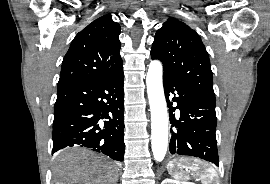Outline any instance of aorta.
I'll return each mask as SVG.
<instances>
[{
    "mask_svg": "<svg viewBox=\"0 0 270 184\" xmlns=\"http://www.w3.org/2000/svg\"><path fill=\"white\" fill-rule=\"evenodd\" d=\"M162 73L161 62L151 61L146 76V86L151 111V148L157 162L164 159L168 146V116Z\"/></svg>",
    "mask_w": 270,
    "mask_h": 184,
    "instance_id": "1",
    "label": "aorta"
}]
</instances>
